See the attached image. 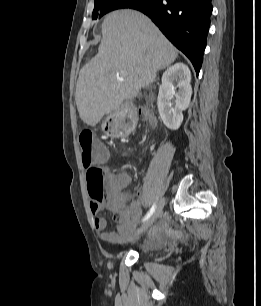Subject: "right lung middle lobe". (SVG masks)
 Listing matches in <instances>:
<instances>
[{"mask_svg": "<svg viewBox=\"0 0 261 306\" xmlns=\"http://www.w3.org/2000/svg\"><path fill=\"white\" fill-rule=\"evenodd\" d=\"M139 1L141 0H94L95 7L92 13V18L96 19L112 10L130 8Z\"/></svg>", "mask_w": 261, "mask_h": 306, "instance_id": "1", "label": "right lung middle lobe"}]
</instances>
